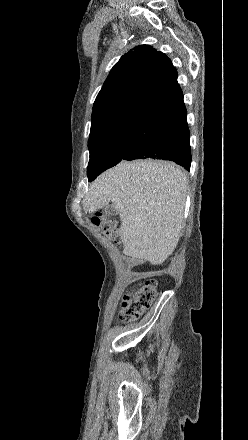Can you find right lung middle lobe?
I'll return each mask as SVG.
<instances>
[{"label":"right lung middle lobe","mask_w":248,"mask_h":440,"mask_svg":"<svg viewBox=\"0 0 248 440\" xmlns=\"http://www.w3.org/2000/svg\"><path fill=\"white\" fill-rule=\"evenodd\" d=\"M128 141L129 130L119 131L89 147L90 160L87 175L90 182L122 160Z\"/></svg>","instance_id":"right-lung-middle-lobe-1"}]
</instances>
